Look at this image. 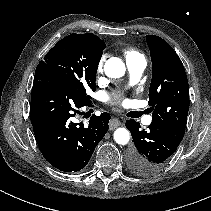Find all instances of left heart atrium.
<instances>
[{"label":"left heart atrium","instance_id":"obj_1","mask_svg":"<svg viewBox=\"0 0 211 211\" xmlns=\"http://www.w3.org/2000/svg\"><path fill=\"white\" fill-rule=\"evenodd\" d=\"M123 103H126V100H123Z\"/></svg>","mask_w":211,"mask_h":211}]
</instances>
